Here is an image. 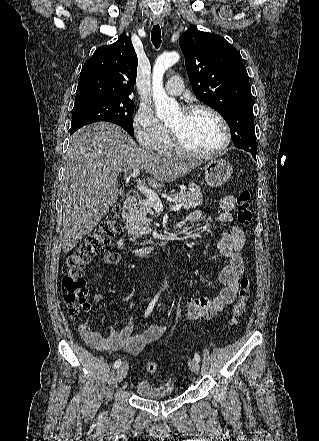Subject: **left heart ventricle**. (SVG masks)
<instances>
[{
  "label": "left heart ventricle",
  "instance_id": "obj_1",
  "mask_svg": "<svg viewBox=\"0 0 319 441\" xmlns=\"http://www.w3.org/2000/svg\"><path fill=\"white\" fill-rule=\"evenodd\" d=\"M168 126L180 135L189 148L199 152L214 150L224 141L220 122L203 110L191 114H185L181 110L172 117Z\"/></svg>",
  "mask_w": 319,
  "mask_h": 441
}]
</instances>
